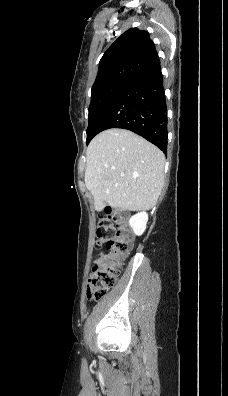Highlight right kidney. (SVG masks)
Wrapping results in <instances>:
<instances>
[{"instance_id": "obj_1", "label": "right kidney", "mask_w": 228, "mask_h": 396, "mask_svg": "<svg viewBox=\"0 0 228 396\" xmlns=\"http://www.w3.org/2000/svg\"><path fill=\"white\" fill-rule=\"evenodd\" d=\"M148 221V214L146 212H140L129 219V225L133 229L136 235H142L146 229Z\"/></svg>"}]
</instances>
